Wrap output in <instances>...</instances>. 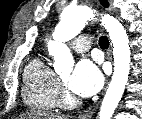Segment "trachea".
Wrapping results in <instances>:
<instances>
[{
  "mask_svg": "<svg viewBox=\"0 0 142 119\" xmlns=\"http://www.w3.org/2000/svg\"><path fill=\"white\" fill-rule=\"evenodd\" d=\"M99 45L101 48H108L109 46V41L106 36H101L99 39Z\"/></svg>",
  "mask_w": 142,
  "mask_h": 119,
  "instance_id": "1",
  "label": "trachea"
}]
</instances>
